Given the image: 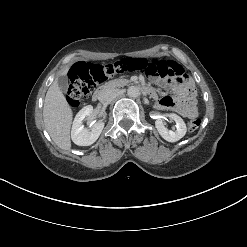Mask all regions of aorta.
I'll return each instance as SVG.
<instances>
[{
  "label": "aorta",
  "mask_w": 247,
  "mask_h": 247,
  "mask_svg": "<svg viewBox=\"0 0 247 247\" xmlns=\"http://www.w3.org/2000/svg\"><path fill=\"white\" fill-rule=\"evenodd\" d=\"M127 95L130 98H137L140 95V90L136 86H130L127 89Z\"/></svg>",
  "instance_id": "762f6f07"
}]
</instances>
